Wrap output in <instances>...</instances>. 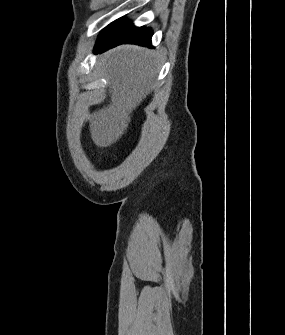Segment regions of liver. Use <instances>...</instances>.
Returning a JSON list of instances; mask_svg holds the SVG:
<instances>
[{
	"mask_svg": "<svg viewBox=\"0 0 285 335\" xmlns=\"http://www.w3.org/2000/svg\"><path fill=\"white\" fill-rule=\"evenodd\" d=\"M101 66L110 82V104L94 112L90 134L99 148L117 142L128 128L130 114L153 90L159 72L155 54L137 46H119L101 56Z\"/></svg>",
	"mask_w": 285,
	"mask_h": 335,
	"instance_id": "6515ba94",
	"label": "liver"
}]
</instances>
